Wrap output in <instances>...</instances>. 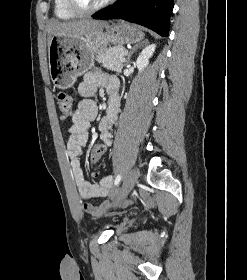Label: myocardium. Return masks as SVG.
<instances>
[{"label": "myocardium", "instance_id": "1", "mask_svg": "<svg viewBox=\"0 0 247 280\" xmlns=\"http://www.w3.org/2000/svg\"><path fill=\"white\" fill-rule=\"evenodd\" d=\"M115 0H104L102 3L98 4L94 7H83L81 6L77 0H66L67 7L70 11L75 13L76 15H88L93 14L97 11H100L110 5Z\"/></svg>", "mask_w": 247, "mask_h": 280}]
</instances>
